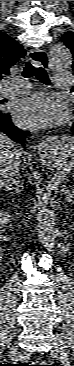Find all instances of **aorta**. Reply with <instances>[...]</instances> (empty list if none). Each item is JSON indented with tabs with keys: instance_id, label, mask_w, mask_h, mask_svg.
Masks as SVG:
<instances>
[{
	"instance_id": "1",
	"label": "aorta",
	"mask_w": 74,
	"mask_h": 366,
	"mask_svg": "<svg viewBox=\"0 0 74 366\" xmlns=\"http://www.w3.org/2000/svg\"><path fill=\"white\" fill-rule=\"evenodd\" d=\"M49 67L54 71H64L72 65V53L63 44H55L49 49ZM37 234L40 242L48 249L56 243V217L52 210L43 206L37 215Z\"/></svg>"
}]
</instances>
